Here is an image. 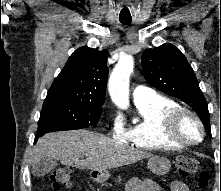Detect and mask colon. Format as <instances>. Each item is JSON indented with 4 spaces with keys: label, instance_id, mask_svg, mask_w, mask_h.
I'll return each instance as SVG.
<instances>
[{
    "label": "colon",
    "instance_id": "1",
    "mask_svg": "<svg viewBox=\"0 0 221 191\" xmlns=\"http://www.w3.org/2000/svg\"><path fill=\"white\" fill-rule=\"evenodd\" d=\"M175 167L181 176H190L198 169L199 163L191 157H178L174 161ZM53 187L59 190L62 186L69 187L72 181V170L67 167H61L53 171L50 176ZM207 181V174H202L200 178L201 186Z\"/></svg>",
    "mask_w": 221,
    "mask_h": 191
}]
</instances>
